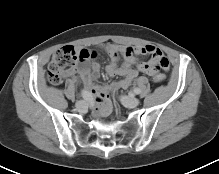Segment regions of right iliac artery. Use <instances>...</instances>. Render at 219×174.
<instances>
[{
    "label": "right iliac artery",
    "mask_w": 219,
    "mask_h": 174,
    "mask_svg": "<svg viewBox=\"0 0 219 174\" xmlns=\"http://www.w3.org/2000/svg\"><path fill=\"white\" fill-rule=\"evenodd\" d=\"M81 94L85 100L89 101L91 99V94L89 93V91L82 90Z\"/></svg>",
    "instance_id": "obj_1"
}]
</instances>
